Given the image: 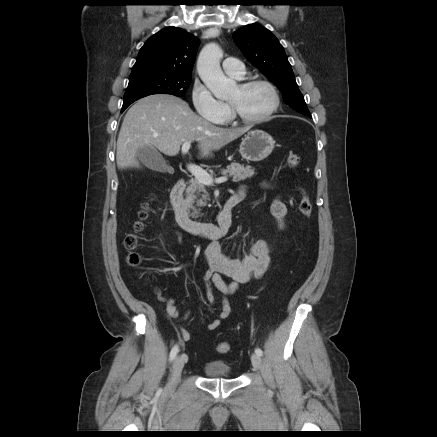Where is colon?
Segmentation results:
<instances>
[{"label":"colon","mask_w":437,"mask_h":437,"mask_svg":"<svg viewBox=\"0 0 437 437\" xmlns=\"http://www.w3.org/2000/svg\"><path fill=\"white\" fill-rule=\"evenodd\" d=\"M287 165L295 169L298 167L300 163V155L297 152L290 151L287 155L286 159ZM299 211L305 217H310L312 213V202L310 197L303 192L302 197L299 202ZM148 216V206L146 203H143L141 206V210L139 211V219L134 224L133 232L128 234L125 238L124 244L126 249L128 250L127 261L128 264L132 267H138L141 263V256L137 252V248L140 245V233L144 229V222ZM217 351L219 353H227L230 350V344L228 342H220L217 347Z\"/></svg>","instance_id":"1"}]
</instances>
